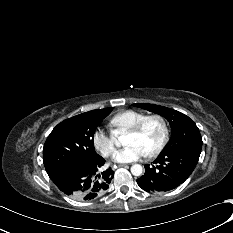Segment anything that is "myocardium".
<instances>
[{
    "label": "myocardium",
    "instance_id": "obj_1",
    "mask_svg": "<svg viewBox=\"0 0 233 233\" xmlns=\"http://www.w3.org/2000/svg\"><path fill=\"white\" fill-rule=\"evenodd\" d=\"M153 119L158 120L159 123L161 124L162 137L159 143L149 153L146 154L147 157L156 156L163 150V148L167 144L168 139H169V127H168V123L166 119L160 114L146 115L139 122H137L135 125H133L131 128L127 130L128 133L137 134L143 129V127L148 121L153 120Z\"/></svg>",
    "mask_w": 233,
    "mask_h": 233
}]
</instances>
